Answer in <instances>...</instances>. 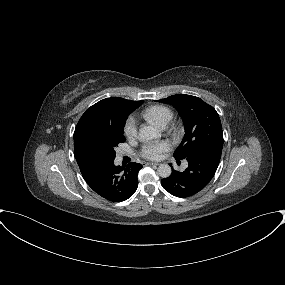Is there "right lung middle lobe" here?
I'll return each instance as SVG.
<instances>
[{"label":"right lung middle lobe","instance_id":"right-lung-middle-lobe-1","mask_svg":"<svg viewBox=\"0 0 285 285\" xmlns=\"http://www.w3.org/2000/svg\"><path fill=\"white\" fill-rule=\"evenodd\" d=\"M128 116L129 113H125L114 123H98L83 128L74 137L76 161L85 164L114 161L115 148L125 142L123 130Z\"/></svg>","mask_w":285,"mask_h":285}]
</instances>
